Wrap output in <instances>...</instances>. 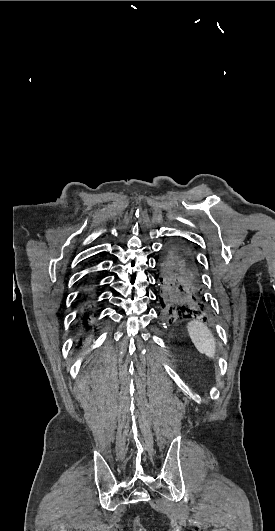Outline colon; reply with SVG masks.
Instances as JSON below:
<instances>
[{
	"label": "colon",
	"mask_w": 275,
	"mask_h": 531,
	"mask_svg": "<svg viewBox=\"0 0 275 531\" xmlns=\"http://www.w3.org/2000/svg\"><path fill=\"white\" fill-rule=\"evenodd\" d=\"M132 531H145V528L141 524L140 518H136L132 524Z\"/></svg>",
	"instance_id": "5ec220e1"
}]
</instances>
